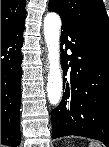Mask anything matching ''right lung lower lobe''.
Returning a JSON list of instances; mask_svg holds the SVG:
<instances>
[{"instance_id": "obj_1", "label": "right lung lower lobe", "mask_w": 109, "mask_h": 147, "mask_svg": "<svg viewBox=\"0 0 109 147\" xmlns=\"http://www.w3.org/2000/svg\"><path fill=\"white\" fill-rule=\"evenodd\" d=\"M24 23L1 35V144H20V103Z\"/></svg>"}]
</instances>
